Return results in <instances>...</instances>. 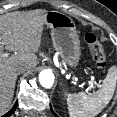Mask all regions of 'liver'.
<instances>
[{
  "instance_id": "6515ba94",
  "label": "liver",
  "mask_w": 117,
  "mask_h": 117,
  "mask_svg": "<svg viewBox=\"0 0 117 117\" xmlns=\"http://www.w3.org/2000/svg\"><path fill=\"white\" fill-rule=\"evenodd\" d=\"M46 13L38 9L0 16V116L7 112L12 102L17 69H31L38 63L35 52L41 44ZM4 48L15 54L4 57Z\"/></svg>"
}]
</instances>
